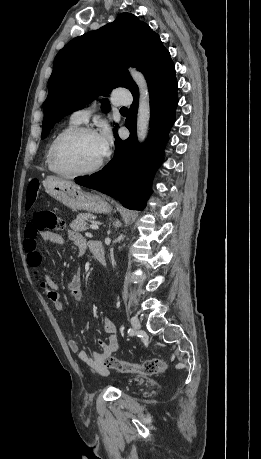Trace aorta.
Instances as JSON below:
<instances>
[{
	"label": "aorta",
	"instance_id": "1",
	"mask_svg": "<svg viewBox=\"0 0 261 459\" xmlns=\"http://www.w3.org/2000/svg\"><path fill=\"white\" fill-rule=\"evenodd\" d=\"M129 72L139 88L140 98L137 113V138L139 142L144 141L150 119V102L147 92V84L143 74L135 68H130Z\"/></svg>",
	"mask_w": 261,
	"mask_h": 459
}]
</instances>
